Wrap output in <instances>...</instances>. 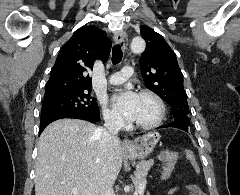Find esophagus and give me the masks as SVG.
I'll list each match as a JSON object with an SVG mask.
<instances>
[{
  "label": "esophagus",
  "mask_w": 240,
  "mask_h": 195,
  "mask_svg": "<svg viewBox=\"0 0 240 195\" xmlns=\"http://www.w3.org/2000/svg\"><path fill=\"white\" fill-rule=\"evenodd\" d=\"M125 37H126V33L124 31L116 32L114 34V41H115V43H121L124 41ZM132 145H133V143L131 140H129V138L124 139V141H123L124 148L131 149Z\"/></svg>",
  "instance_id": "esophagus-1"
}]
</instances>
